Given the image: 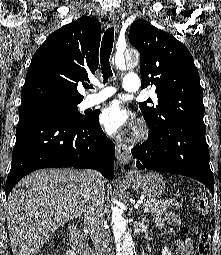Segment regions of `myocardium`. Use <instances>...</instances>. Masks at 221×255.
<instances>
[{
    "label": "myocardium",
    "mask_w": 221,
    "mask_h": 255,
    "mask_svg": "<svg viewBox=\"0 0 221 255\" xmlns=\"http://www.w3.org/2000/svg\"><path fill=\"white\" fill-rule=\"evenodd\" d=\"M147 134V130L143 126H137L132 130L131 136L134 140H141L143 139Z\"/></svg>",
    "instance_id": "obj_1"
}]
</instances>
